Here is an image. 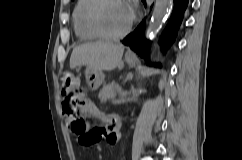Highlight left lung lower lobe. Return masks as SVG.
<instances>
[{
  "label": "left lung lower lobe",
  "instance_id": "0a47b994",
  "mask_svg": "<svg viewBox=\"0 0 242 160\" xmlns=\"http://www.w3.org/2000/svg\"><path fill=\"white\" fill-rule=\"evenodd\" d=\"M142 1L146 5V0ZM188 2L189 0H174V9L172 15L160 40V45L163 51H166L175 41L177 31L182 22L183 15L187 8ZM144 31L145 22H142L131 34H129L122 40V43L129 46L139 56L144 58L149 63V43L144 38ZM157 66L161 65L157 64Z\"/></svg>",
  "mask_w": 242,
  "mask_h": 160
}]
</instances>
